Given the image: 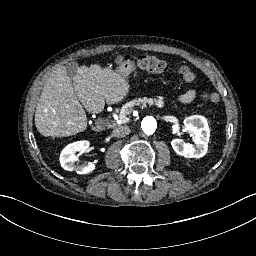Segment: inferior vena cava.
<instances>
[{
  "label": "inferior vena cava",
  "instance_id": "602c4592",
  "mask_svg": "<svg viewBox=\"0 0 256 256\" xmlns=\"http://www.w3.org/2000/svg\"><path fill=\"white\" fill-rule=\"evenodd\" d=\"M129 133H130V128L126 125H120L114 128L113 130V135L118 138L125 137Z\"/></svg>",
  "mask_w": 256,
  "mask_h": 256
}]
</instances>
